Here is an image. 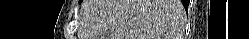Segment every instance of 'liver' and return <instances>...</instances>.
Segmentation results:
<instances>
[{"instance_id": "liver-1", "label": "liver", "mask_w": 249, "mask_h": 39, "mask_svg": "<svg viewBox=\"0 0 249 39\" xmlns=\"http://www.w3.org/2000/svg\"><path fill=\"white\" fill-rule=\"evenodd\" d=\"M179 0H85L80 39H175Z\"/></svg>"}]
</instances>
